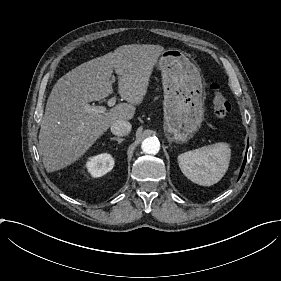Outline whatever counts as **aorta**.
<instances>
[{
    "instance_id": "1",
    "label": "aorta",
    "mask_w": 281,
    "mask_h": 281,
    "mask_svg": "<svg viewBox=\"0 0 281 281\" xmlns=\"http://www.w3.org/2000/svg\"><path fill=\"white\" fill-rule=\"evenodd\" d=\"M141 147L147 154H157L160 150V142L156 137H148L143 140Z\"/></svg>"
}]
</instances>
